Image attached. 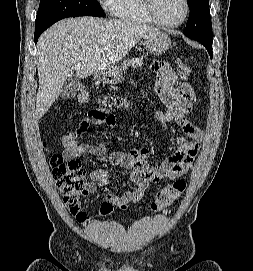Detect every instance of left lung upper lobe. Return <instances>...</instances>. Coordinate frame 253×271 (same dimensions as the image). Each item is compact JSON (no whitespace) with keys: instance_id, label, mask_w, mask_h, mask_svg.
<instances>
[{"instance_id":"obj_1","label":"left lung upper lobe","mask_w":253,"mask_h":271,"mask_svg":"<svg viewBox=\"0 0 253 271\" xmlns=\"http://www.w3.org/2000/svg\"><path fill=\"white\" fill-rule=\"evenodd\" d=\"M187 1L190 15L184 32L185 36L200 42H213L208 0Z\"/></svg>"}]
</instances>
